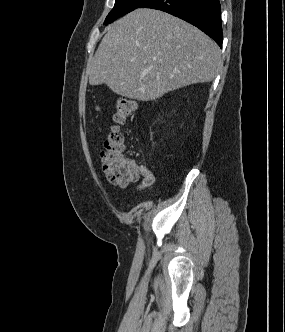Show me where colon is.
<instances>
[{
    "label": "colon",
    "mask_w": 285,
    "mask_h": 332,
    "mask_svg": "<svg viewBox=\"0 0 285 332\" xmlns=\"http://www.w3.org/2000/svg\"><path fill=\"white\" fill-rule=\"evenodd\" d=\"M136 103L127 98H119L116 102L114 123L111 132L104 142L101 152L102 169L107 180L114 185L126 187L138 179L133 162L124 155L125 143L120 126L136 112Z\"/></svg>",
    "instance_id": "obj_1"
}]
</instances>
